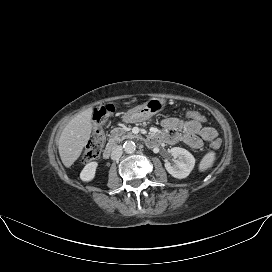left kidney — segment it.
I'll return each mask as SVG.
<instances>
[{"instance_id":"1","label":"left kidney","mask_w":272,"mask_h":272,"mask_svg":"<svg viewBox=\"0 0 272 272\" xmlns=\"http://www.w3.org/2000/svg\"><path fill=\"white\" fill-rule=\"evenodd\" d=\"M170 153L174 157V164L165 163L169 174L178 179L186 178L195 166L194 156L184 148L173 147Z\"/></svg>"}]
</instances>
